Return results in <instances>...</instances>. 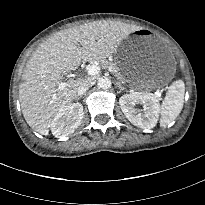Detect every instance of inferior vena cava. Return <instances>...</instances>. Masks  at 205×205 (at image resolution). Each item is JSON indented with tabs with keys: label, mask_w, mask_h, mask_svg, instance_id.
Returning a JSON list of instances; mask_svg holds the SVG:
<instances>
[{
	"label": "inferior vena cava",
	"mask_w": 205,
	"mask_h": 205,
	"mask_svg": "<svg viewBox=\"0 0 205 205\" xmlns=\"http://www.w3.org/2000/svg\"><path fill=\"white\" fill-rule=\"evenodd\" d=\"M91 86H92V80L84 79L78 88L77 94L80 96L83 95Z\"/></svg>",
	"instance_id": "602c4592"
}]
</instances>
